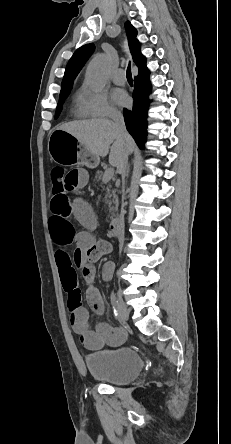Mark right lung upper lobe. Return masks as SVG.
Masks as SVG:
<instances>
[{"label":"right lung upper lobe","instance_id":"obj_1","mask_svg":"<svg viewBox=\"0 0 231 444\" xmlns=\"http://www.w3.org/2000/svg\"><path fill=\"white\" fill-rule=\"evenodd\" d=\"M125 27L127 31L128 45L133 57V61L137 65L139 72H141L147 69V67L146 58L141 53V44L136 38L137 30L130 24L129 21L125 23ZM94 48V44L91 43L83 45L75 51L67 64L61 84V91H66L69 89L71 90L74 79L94 51Z\"/></svg>","mask_w":231,"mask_h":444}]
</instances>
